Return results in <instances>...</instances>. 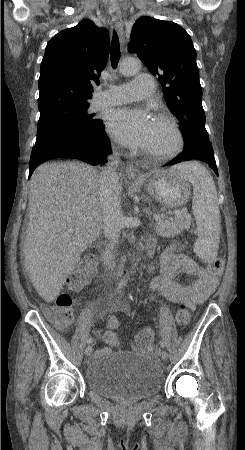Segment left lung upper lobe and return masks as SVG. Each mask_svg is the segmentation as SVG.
Segmentation results:
<instances>
[{
    "label": "left lung upper lobe",
    "mask_w": 245,
    "mask_h": 450,
    "mask_svg": "<svg viewBox=\"0 0 245 450\" xmlns=\"http://www.w3.org/2000/svg\"><path fill=\"white\" fill-rule=\"evenodd\" d=\"M129 46L158 77L167 105L180 121L183 152L210 148L196 51L189 34L176 23L141 17L133 25Z\"/></svg>",
    "instance_id": "obj_1"
}]
</instances>
